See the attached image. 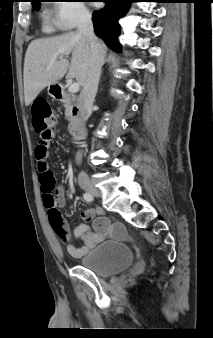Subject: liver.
<instances>
[{
  "mask_svg": "<svg viewBox=\"0 0 213 338\" xmlns=\"http://www.w3.org/2000/svg\"><path fill=\"white\" fill-rule=\"evenodd\" d=\"M104 51L106 46L101 42ZM67 59H59L63 56ZM91 65V50L86 38L75 32H69L48 39L32 41L24 60V98L25 105H30L38 94L47 86L56 84L66 73L68 78H75L84 86L88 79Z\"/></svg>",
  "mask_w": 213,
  "mask_h": 338,
  "instance_id": "liver-1",
  "label": "liver"
}]
</instances>
